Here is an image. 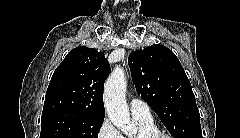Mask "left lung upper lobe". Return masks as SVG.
<instances>
[{
    "label": "left lung upper lobe",
    "instance_id": "left-lung-upper-lobe-1",
    "mask_svg": "<svg viewBox=\"0 0 240 138\" xmlns=\"http://www.w3.org/2000/svg\"><path fill=\"white\" fill-rule=\"evenodd\" d=\"M128 64L137 93L173 137L202 138L195 96L176 55L156 44L132 52Z\"/></svg>",
    "mask_w": 240,
    "mask_h": 138
}]
</instances>
